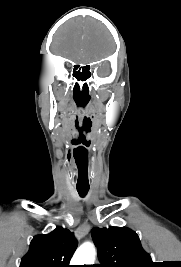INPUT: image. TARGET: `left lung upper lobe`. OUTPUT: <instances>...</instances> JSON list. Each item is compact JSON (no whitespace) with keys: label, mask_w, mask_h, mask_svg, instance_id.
<instances>
[{"label":"left lung upper lobe","mask_w":181,"mask_h":267,"mask_svg":"<svg viewBox=\"0 0 181 267\" xmlns=\"http://www.w3.org/2000/svg\"><path fill=\"white\" fill-rule=\"evenodd\" d=\"M92 238L101 264L97 267H154L138 235L126 227L93 228Z\"/></svg>","instance_id":"left-lung-upper-lobe-1"}]
</instances>
